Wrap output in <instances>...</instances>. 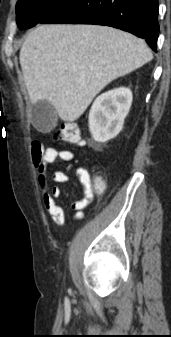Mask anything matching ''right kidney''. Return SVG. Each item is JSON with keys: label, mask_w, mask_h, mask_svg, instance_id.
I'll use <instances>...</instances> for the list:
<instances>
[{"label": "right kidney", "mask_w": 171, "mask_h": 337, "mask_svg": "<svg viewBox=\"0 0 171 337\" xmlns=\"http://www.w3.org/2000/svg\"><path fill=\"white\" fill-rule=\"evenodd\" d=\"M132 103L129 88L119 87L98 96L89 112V130L96 142H106L121 131Z\"/></svg>", "instance_id": "1"}]
</instances>
